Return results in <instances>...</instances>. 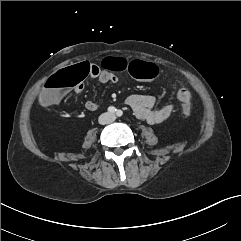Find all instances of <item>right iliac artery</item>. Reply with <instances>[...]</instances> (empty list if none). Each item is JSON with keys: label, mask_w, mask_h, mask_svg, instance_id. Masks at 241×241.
<instances>
[{"label": "right iliac artery", "mask_w": 241, "mask_h": 241, "mask_svg": "<svg viewBox=\"0 0 241 241\" xmlns=\"http://www.w3.org/2000/svg\"><path fill=\"white\" fill-rule=\"evenodd\" d=\"M116 111H117V109L115 107H113V106H110L108 108V112H110V113H115Z\"/></svg>", "instance_id": "82829eb1"}]
</instances>
